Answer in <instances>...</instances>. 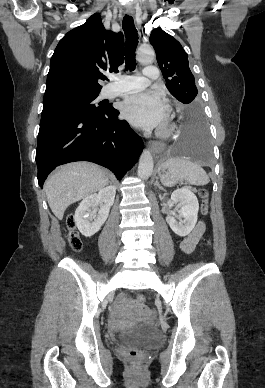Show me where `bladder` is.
Listing matches in <instances>:
<instances>
[{"label":"bladder","mask_w":265,"mask_h":388,"mask_svg":"<svg viewBox=\"0 0 265 388\" xmlns=\"http://www.w3.org/2000/svg\"><path fill=\"white\" fill-rule=\"evenodd\" d=\"M155 335V330L150 326H138L131 330L125 331L119 335L120 340L124 343L138 345L145 344V340L149 337Z\"/></svg>","instance_id":"bladder-1"}]
</instances>
